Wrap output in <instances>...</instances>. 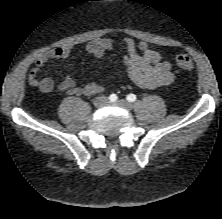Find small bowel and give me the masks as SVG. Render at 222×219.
Returning a JSON list of instances; mask_svg holds the SVG:
<instances>
[{
  "label": "small bowel",
  "instance_id": "c3829d8e",
  "mask_svg": "<svg viewBox=\"0 0 222 219\" xmlns=\"http://www.w3.org/2000/svg\"><path fill=\"white\" fill-rule=\"evenodd\" d=\"M123 45L126 50L123 62L128 78L143 89H154L171 84L175 80L172 64L163 55L147 42H136L132 38H124ZM115 48V43L108 38H98L85 47L86 53L103 59L106 51ZM72 51L71 45L53 48L41 54L35 67L28 74V83L45 93L52 92L55 88L60 92L71 95H95L103 91L99 83L77 85L71 75H67L59 84L49 77L40 76L45 65L53 60L64 62ZM65 66V65H64Z\"/></svg>",
  "mask_w": 222,
  "mask_h": 219
}]
</instances>
